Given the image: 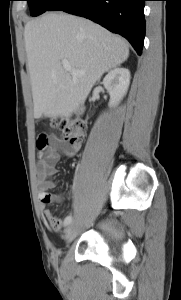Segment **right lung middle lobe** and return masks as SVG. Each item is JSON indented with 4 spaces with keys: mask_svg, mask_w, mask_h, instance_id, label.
<instances>
[{
    "mask_svg": "<svg viewBox=\"0 0 181 300\" xmlns=\"http://www.w3.org/2000/svg\"><path fill=\"white\" fill-rule=\"evenodd\" d=\"M28 1L29 7L31 9L32 16H38L45 11L53 10L55 5L60 0H26Z\"/></svg>",
    "mask_w": 181,
    "mask_h": 300,
    "instance_id": "dd1d6c3e",
    "label": "right lung middle lobe"
}]
</instances>
